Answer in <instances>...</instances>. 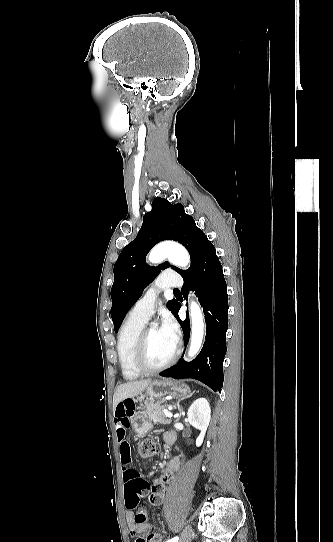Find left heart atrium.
<instances>
[{"mask_svg": "<svg viewBox=\"0 0 333 542\" xmlns=\"http://www.w3.org/2000/svg\"><path fill=\"white\" fill-rule=\"evenodd\" d=\"M160 329L174 344H177L180 330L176 320L170 314L163 315Z\"/></svg>", "mask_w": 333, "mask_h": 542, "instance_id": "1", "label": "left heart atrium"}]
</instances>
